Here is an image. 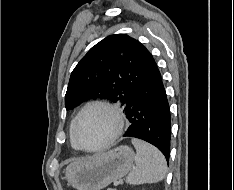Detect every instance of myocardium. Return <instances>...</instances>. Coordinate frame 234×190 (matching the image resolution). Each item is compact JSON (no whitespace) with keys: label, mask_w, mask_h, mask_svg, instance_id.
I'll return each mask as SVG.
<instances>
[{"label":"myocardium","mask_w":234,"mask_h":190,"mask_svg":"<svg viewBox=\"0 0 234 190\" xmlns=\"http://www.w3.org/2000/svg\"><path fill=\"white\" fill-rule=\"evenodd\" d=\"M93 108H102L106 111H108L110 113V115L113 117L114 122H115V128L112 132V134L108 137V139H106L104 142L94 146V147H84L82 146L78 140H77V136H76V132H77V127L78 124L82 118V116L89 111L90 109ZM124 116L122 114V112L120 111V109L113 105L112 103L108 102V101H104V100H94L91 101L89 103H87L77 114V116L75 117L73 124H72V128H71V140L74 143V145L76 146V148L82 150V151H86V152H95L98 150H101L107 146H109L112 142H114L122 133L123 129H124Z\"/></svg>","instance_id":"obj_1"}]
</instances>
